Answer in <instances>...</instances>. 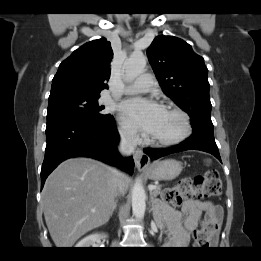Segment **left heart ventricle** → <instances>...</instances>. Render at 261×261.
<instances>
[{
    "instance_id": "left-heart-ventricle-1",
    "label": "left heart ventricle",
    "mask_w": 261,
    "mask_h": 261,
    "mask_svg": "<svg viewBox=\"0 0 261 261\" xmlns=\"http://www.w3.org/2000/svg\"><path fill=\"white\" fill-rule=\"evenodd\" d=\"M181 130V121L175 114L164 110L156 131L152 134L153 138H171Z\"/></svg>"
}]
</instances>
